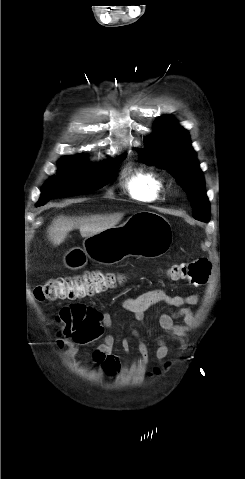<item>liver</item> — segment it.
I'll use <instances>...</instances> for the list:
<instances>
[{
	"label": "liver",
	"instance_id": "6515ba94",
	"mask_svg": "<svg viewBox=\"0 0 245 479\" xmlns=\"http://www.w3.org/2000/svg\"><path fill=\"white\" fill-rule=\"evenodd\" d=\"M122 213L109 215H91L83 217L59 216L49 226L48 238L53 245H60L66 239L68 233L79 229L83 238L96 235L102 231L114 228L122 219Z\"/></svg>",
	"mask_w": 245,
	"mask_h": 479
}]
</instances>
